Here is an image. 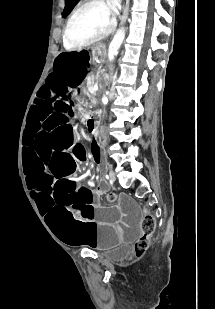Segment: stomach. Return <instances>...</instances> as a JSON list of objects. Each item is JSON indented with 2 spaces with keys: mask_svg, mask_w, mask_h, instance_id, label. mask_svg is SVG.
<instances>
[{
  "mask_svg": "<svg viewBox=\"0 0 215 309\" xmlns=\"http://www.w3.org/2000/svg\"><path fill=\"white\" fill-rule=\"evenodd\" d=\"M95 51H96V53H97L98 55H102V54L104 53V51H105L104 45H99V46H97L96 49H95ZM83 95H84V96H87V97H89V98H90V96H91L90 92H88V91H84V92H83Z\"/></svg>",
  "mask_w": 215,
  "mask_h": 309,
  "instance_id": "1",
  "label": "stomach"
}]
</instances>
